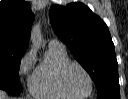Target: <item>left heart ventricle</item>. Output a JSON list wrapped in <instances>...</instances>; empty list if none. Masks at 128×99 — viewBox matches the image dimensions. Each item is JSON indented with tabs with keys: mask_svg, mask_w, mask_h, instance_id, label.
<instances>
[{
	"mask_svg": "<svg viewBox=\"0 0 128 99\" xmlns=\"http://www.w3.org/2000/svg\"><path fill=\"white\" fill-rule=\"evenodd\" d=\"M68 91L74 95H85L89 90V81L84 72L76 66L70 67L64 76Z\"/></svg>",
	"mask_w": 128,
	"mask_h": 99,
	"instance_id": "1",
	"label": "left heart ventricle"
}]
</instances>
